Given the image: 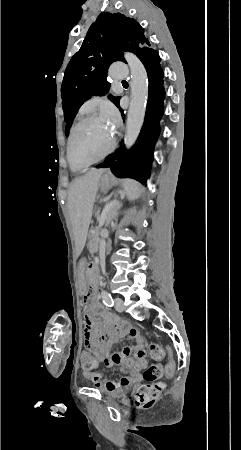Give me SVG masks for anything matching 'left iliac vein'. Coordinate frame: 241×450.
Returning a JSON list of instances; mask_svg holds the SVG:
<instances>
[{"label":"left iliac vein","mask_w":241,"mask_h":450,"mask_svg":"<svg viewBox=\"0 0 241 450\" xmlns=\"http://www.w3.org/2000/svg\"><path fill=\"white\" fill-rule=\"evenodd\" d=\"M114 306H115V309H116L118 312H122L123 309H124V306H123V300H122L120 297H116V298H115Z\"/></svg>","instance_id":"obj_1"}]
</instances>
